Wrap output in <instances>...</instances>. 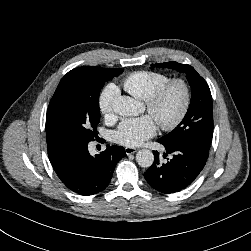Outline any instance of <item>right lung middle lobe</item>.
<instances>
[{"label": "right lung middle lobe", "instance_id": "obj_1", "mask_svg": "<svg viewBox=\"0 0 251 251\" xmlns=\"http://www.w3.org/2000/svg\"><path fill=\"white\" fill-rule=\"evenodd\" d=\"M122 72L123 69L84 66L64 75L50 110L52 126L60 138L66 142L94 140L100 121V90Z\"/></svg>", "mask_w": 251, "mask_h": 251}]
</instances>
